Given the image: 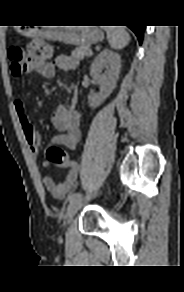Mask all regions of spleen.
<instances>
[{"instance_id":"spleen-1","label":"spleen","mask_w":184,"mask_h":292,"mask_svg":"<svg viewBox=\"0 0 184 292\" xmlns=\"http://www.w3.org/2000/svg\"><path fill=\"white\" fill-rule=\"evenodd\" d=\"M107 33V39L112 49L119 50L128 45L130 42V35L125 28L120 26L104 27Z\"/></svg>"}]
</instances>
